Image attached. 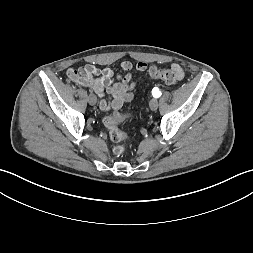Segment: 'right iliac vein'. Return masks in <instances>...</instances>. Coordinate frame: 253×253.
Returning <instances> with one entry per match:
<instances>
[{
    "label": "right iliac vein",
    "instance_id": "obj_1",
    "mask_svg": "<svg viewBox=\"0 0 253 253\" xmlns=\"http://www.w3.org/2000/svg\"><path fill=\"white\" fill-rule=\"evenodd\" d=\"M88 102H89L90 105H95L96 102H97L96 96L94 94H90L88 96Z\"/></svg>",
    "mask_w": 253,
    "mask_h": 253
}]
</instances>
